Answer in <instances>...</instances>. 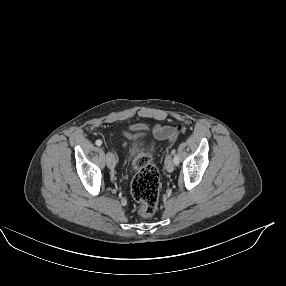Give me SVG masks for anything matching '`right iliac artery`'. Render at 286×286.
Instances as JSON below:
<instances>
[{"mask_svg": "<svg viewBox=\"0 0 286 286\" xmlns=\"http://www.w3.org/2000/svg\"><path fill=\"white\" fill-rule=\"evenodd\" d=\"M95 143H96L97 146H101L102 145V141L101 140H96Z\"/></svg>", "mask_w": 286, "mask_h": 286, "instance_id": "right-iliac-artery-1", "label": "right iliac artery"}]
</instances>
